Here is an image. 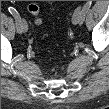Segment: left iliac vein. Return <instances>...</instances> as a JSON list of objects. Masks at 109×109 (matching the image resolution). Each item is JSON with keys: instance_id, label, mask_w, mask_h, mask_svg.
I'll return each instance as SVG.
<instances>
[{"instance_id": "obj_1", "label": "left iliac vein", "mask_w": 109, "mask_h": 109, "mask_svg": "<svg viewBox=\"0 0 109 109\" xmlns=\"http://www.w3.org/2000/svg\"><path fill=\"white\" fill-rule=\"evenodd\" d=\"M81 14H82V8L81 7L76 8L72 17V23L74 25L81 24Z\"/></svg>"}]
</instances>
